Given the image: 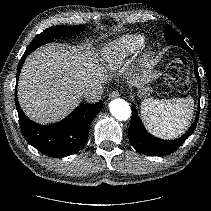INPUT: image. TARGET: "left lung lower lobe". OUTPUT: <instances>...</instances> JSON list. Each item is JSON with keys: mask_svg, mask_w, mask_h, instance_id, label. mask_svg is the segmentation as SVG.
I'll return each instance as SVG.
<instances>
[{"mask_svg": "<svg viewBox=\"0 0 211 211\" xmlns=\"http://www.w3.org/2000/svg\"><path fill=\"white\" fill-rule=\"evenodd\" d=\"M171 44H177L183 47L192 55L193 60H194L195 75L198 82H200L197 62L194 58L193 51L187 46V44L184 42L183 39L174 41ZM200 91L201 90L199 86V94H200ZM198 118H199V108L196 114V119L194 123L192 124L191 128L189 129V131H187L185 135L181 136L178 139H175L173 141H166V140L158 139L146 131L140 118L138 117V112L135 108V105L133 104L132 118H131L129 130H128V137L132 146L140 153H143L149 156L167 155L177 150L184 143V141L194 132V129L198 122Z\"/></svg>", "mask_w": 211, "mask_h": 211, "instance_id": "0a47b994", "label": "left lung lower lobe"}]
</instances>
